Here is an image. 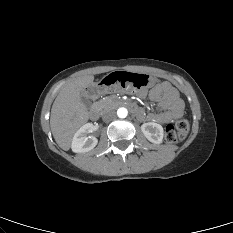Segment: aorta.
Listing matches in <instances>:
<instances>
[{"label": "aorta", "mask_w": 233, "mask_h": 233, "mask_svg": "<svg viewBox=\"0 0 233 233\" xmlns=\"http://www.w3.org/2000/svg\"><path fill=\"white\" fill-rule=\"evenodd\" d=\"M128 114V111L126 108L124 107H121L117 110V115L119 118H125Z\"/></svg>", "instance_id": "1"}]
</instances>
